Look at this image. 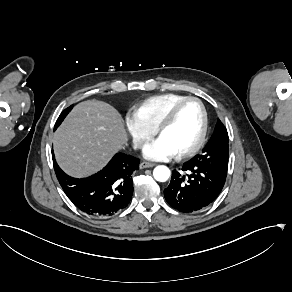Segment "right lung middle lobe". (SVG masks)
I'll use <instances>...</instances> for the list:
<instances>
[{"label": "right lung middle lobe", "mask_w": 292, "mask_h": 292, "mask_svg": "<svg viewBox=\"0 0 292 292\" xmlns=\"http://www.w3.org/2000/svg\"><path fill=\"white\" fill-rule=\"evenodd\" d=\"M73 106H70L68 107L66 110H64L61 115L59 116V118L57 119V122L55 124V128L56 129L60 124L61 122L63 121V119L66 117V115L69 113V111L72 109Z\"/></svg>", "instance_id": "right-lung-middle-lobe-1"}]
</instances>
